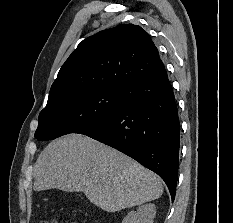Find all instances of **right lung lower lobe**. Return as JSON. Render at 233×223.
I'll return each mask as SVG.
<instances>
[{"label": "right lung lower lobe", "mask_w": 233, "mask_h": 223, "mask_svg": "<svg viewBox=\"0 0 233 223\" xmlns=\"http://www.w3.org/2000/svg\"><path fill=\"white\" fill-rule=\"evenodd\" d=\"M119 104L116 113L78 133L116 148L157 173L174 200L180 123L166 69L121 88Z\"/></svg>", "instance_id": "obj_1"}]
</instances>
